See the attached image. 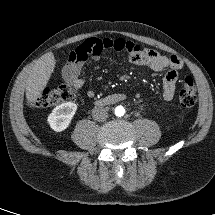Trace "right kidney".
Masks as SVG:
<instances>
[{
    "mask_svg": "<svg viewBox=\"0 0 215 215\" xmlns=\"http://www.w3.org/2000/svg\"><path fill=\"white\" fill-rule=\"evenodd\" d=\"M76 110L77 105L72 102H66L58 105L48 116V124L55 132L64 131L69 127Z\"/></svg>",
    "mask_w": 215,
    "mask_h": 215,
    "instance_id": "obj_1",
    "label": "right kidney"
}]
</instances>
